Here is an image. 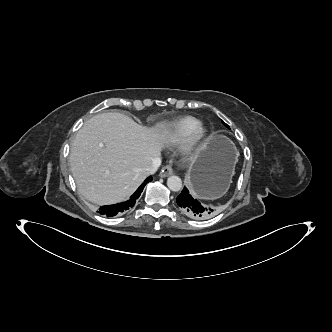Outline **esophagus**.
I'll return each mask as SVG.
<instances>
[{
    "mask_svg": "<svg viewBox=\"0 0 332 332\" xmlns=\"http://www.w3.org/2000/svg\"><path fill=\"white\" fill-rule=\"evenodd\" d=\"M173 173V168L171 165H165L162 167L159 176L160 177H167Z\"/></svg>",
    "mask_w": 332,
    "mask_h": 332,
    "instance_id": "1",
    "label": "esophagus"
}]
</instances>
